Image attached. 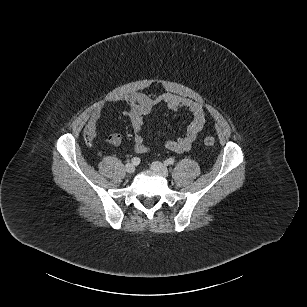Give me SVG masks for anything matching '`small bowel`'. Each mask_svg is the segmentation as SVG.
Returning <instances> with one entry per match:
<instances>
[{
  "label": "small bowel",
  "instance_id": "small-bowel-1",
  "mask_svg": "<svg viewBox=\"0 0 307 307\" xmlns=\"http://www.w3.org/2000/svg\"><path fill=\"white\" fill-rule=\"evenodd\" d=\"M121 99L127 104L125 115L131 121L134 136V149L138 154H145L150 150L144 141L142 127L145 117L152 111L153 107L158 104H164L172 111L185 109L193 115V120L187 127L183 136L165 142V147L170 151L176 153L188 151L206 122V112L201 103L175 94L164 93L156 97H151L144 93L135 92L125 95ZM107 106V104H103L92 112L87 124V129L92 135L95 134L96 124L101 117L102 111Z\"/></svg>",
  "mask_w": 307,
  "mask_h": 307
}]
</instances>
